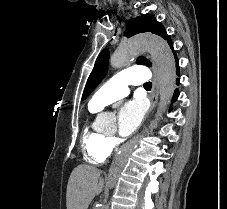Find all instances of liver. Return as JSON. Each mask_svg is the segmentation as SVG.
<instances>
[{
    "label": "liver",
    "mask_w": 227,
    "mask_h": 209,
    "mask_svg": "<svg viewBox=\"0 0 227 209\" xmlns=\"http://www.w3.org/2000/svg\"><path fill=\"white\" fill-rule=\"evenodd\" d=\"M98 177L97 169L89 165H78L72 171L67 185V209H87L92 199L89 195L99 191L96 187Z\"/></svg>",
    "instance_id": "6515ba94"
}]
</instances>
